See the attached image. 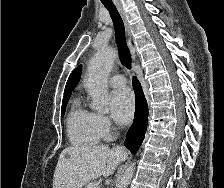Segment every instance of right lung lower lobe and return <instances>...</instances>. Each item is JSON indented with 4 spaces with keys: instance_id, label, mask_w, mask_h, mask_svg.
<instances>
[{
    "instance_id": "1",
    "label": "right lung lower lobe",
    "mask_w": 224,
    "mask_h": 188,
    "mask_svg": "<svg viewBox=\"0 0 224 188\" xmlns=\"http://www.w3.org/2000/svg\"><path fill=\"white\" fill-rule=\"evenodd\" d=\"M133 87L136 96V110L134 122L130 127L124 145L134 154L142 144L148 122V107L141 84L133 78Z\"/></svg>"
}]
</instances>
